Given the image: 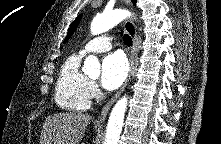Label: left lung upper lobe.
Listing matches in <instances>:
<instances>
[{
	"label": "left lung upper lobe",
	"mask_w": 221,
	"mask_h": 144,
	"mask_svg": "<svg viewBox=\"0 0 221 144\" xmlns=\"http://www.w3.org/2000/svg\"><path fill=\"white\" fill-rule=\"evenodd\" d=\"M133 4L135 5L136 4V0H132ZM81 16L82 15H79L75 20L74 22L71 24L70 28H69V31H68V34L64 40V42H66L71 36L72 34L74 33L75 29L77 28V25L78 23L80 22V19H81Z\"/></svg>",
	"instance_id": "left-lung-upper-lobe-1"
}]
</instances>
